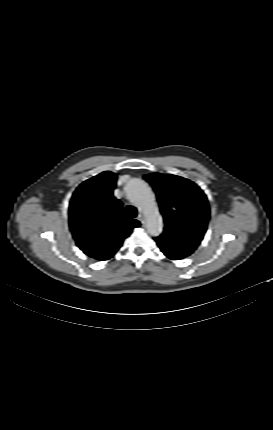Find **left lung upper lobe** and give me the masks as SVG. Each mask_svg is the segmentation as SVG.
<instances>
[{
	"instance_id": "5c2ea615",
	"label": "left lung upper lobe",
	"mask_w": 273,
	"mask_h": 430,
	"mask_svg": "<svg viewBox=\"0 0 273 430\" xmlns=\"http://www.w3.org/2000/svg\"><path fill=\"white\" fill-rule=\"evenodd\" d=\"M144 179L157 194L165 222L163 233L154 240L172 260L189 256L207 229L210 212L206 195L195 183L180 176L151 173Z\"/></svg>"
}]
</instances>
